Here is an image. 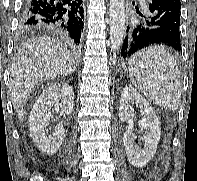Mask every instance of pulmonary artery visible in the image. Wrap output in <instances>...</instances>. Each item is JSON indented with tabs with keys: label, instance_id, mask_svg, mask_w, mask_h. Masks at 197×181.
Segmentation results:
<instances>
[{
	"label": "pulmonary artery",
	"instance_id": "e3ab8cb5",
	"mask_svg": "<svg viewBox=\"0 0 197 181\" xmlns=\"http://www.w3.org/2000/svg\"><path fill=\"white\" fill-rule=\"evenodd\" d=\"M141 3H142V5H143V7H147V2L145 1V0H141Z\"/></svg>",
	"mask_w": 197,
	"mask_h": 181
}]
</instances>
